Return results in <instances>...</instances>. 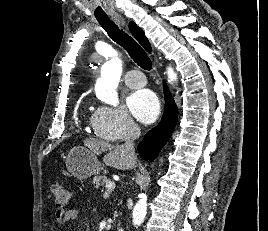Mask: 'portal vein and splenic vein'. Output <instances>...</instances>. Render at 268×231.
Listing matches in <instances>:
<instances>
[{
  "label": "portal vein and splenic vein",
  "instance_id": "1",
  "mask_svg": "<svg viewBox=\"0 0 268 231\" xmlns=\"http://www.w3.org/2000/svg\"><path fill=\"white\" fill-rule=\"evenodd\" d=\"M105 188H106L107 191H112V190L115 189V183L113 181H111V180L106 181Z\"/></svg>",
  "mask_w": 268,
  "mask_h": 231
}]
</instances>
